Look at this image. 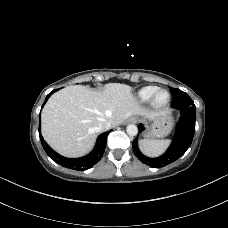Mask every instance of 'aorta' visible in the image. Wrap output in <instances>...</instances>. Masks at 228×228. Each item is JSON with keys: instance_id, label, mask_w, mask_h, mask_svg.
<instances>
[{"instance_id": "1", "label": "aorta", "mask_w": 228, "mask_h": 228, "mask_svg": "<svg viewBox=\"0 0 228 228\" xmlns=\"http://www.w3.org/2000/svg\"><path fill=\"white\" fill-rule=\"evenodd\" d=\"M126 132L129 136H136L138 133V128L134 124H130L126 127Z\"/></svg>"}]
</instances>
